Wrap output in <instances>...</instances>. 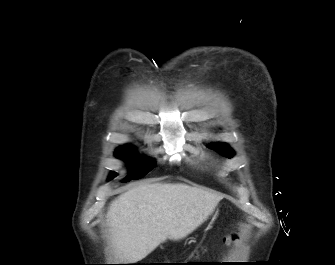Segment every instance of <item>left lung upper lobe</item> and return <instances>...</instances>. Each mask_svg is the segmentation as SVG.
Instances as JSON below:
<instances>
[{
    "label": "left lung upper lobe",
    "instance_id": "left-lung-upper-lobe-1",
    "mask_svg": "<svg viewBox=\"0 0 335 265\" xmlns=\"http://www.w3.org/2000/svg\"><path fill=\"white\" fill-rule=\"evenodd\" d=\"M209 148L228 158H231L234 154V151L227 144L223 143H214L210 145Z\"/></svg>",
    "mask_w": 335,
    "mask_h": 265
}]
</instances>
